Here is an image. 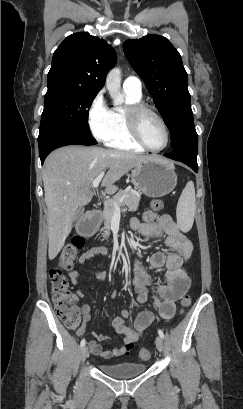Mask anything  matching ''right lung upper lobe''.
<instances>
[{
  "label": "right lung upper lobe",
  "mask_w": 243,
  "mask_h": 409,
  "mask_svg": "<svg viewBox=\"0 0 243 409\" xmlns=\"http://www.w3.org/2000/svg\"><path fill=\"white\" fill-rule=\"evenodd\" d=\"M115 63V50L105 40L85 32L74 33L54 52L48 82L99 92Z\"/></svg>",
  "instance_id": "cb5924a9"
}]
</instances>
